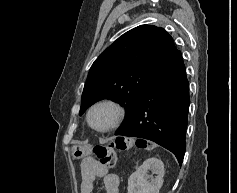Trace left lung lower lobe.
<instances>
[{
	"mask_svg": "<svg viewBox=\"0 0 237 193\" xmlns=\"http://www.w3.org/2000/svg\"><path fill=\"white\" fill-rule=\"evenodd\" d=\"M189 84L181 52L148 87L130 123L115 135L151 140L171 151L179 164L185 153Z\"/></svg>",
	"mask_w": 237,
	"mask_h": 193,
	"instance_id": "obj_1",
	"label": "left lung lower lobe"
}]
</instances>
